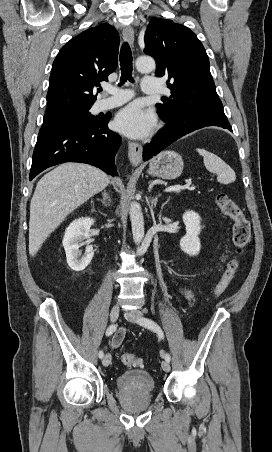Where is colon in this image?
<instances>
[{
  "instance_id": "1",
  "label": "colon",
  "mask_w": 272,
  "mask_h": 452,
  "mask_svg": "<svg viewBox=\"0 0 272 452\" xmlns=\"http://www.w3.org/2000/svg\"><path fill=\"white\" fill-rule=\"evenodd\" d=\"M216 204L221 213L233 221L232 238L235 246L236 255H241L250 242V223L244 215L242 209L226 194L217 193L215 196ZM239 267L237 257H233L227 264L226 269L216 284L213 295L221 296L229 287ZM121 362L125 366H141L143 361L133 353H124L121 356Z\"/></svg>"
}]
</instances>
